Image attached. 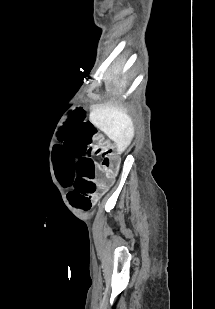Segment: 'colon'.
Listing matches in <instances>:
<instances>
[{"label": "colon", "instance_id": "obj_1", "mask_svg": "<svg viewBox=\"0 0 215 309\" xmlns=\"http://www.w3.org/2000/svg\"><path fill=\"white\" fill-rule=\"evenodd\" d=\"M102 166L105 171L114 172L118 168V162L115 154L112 151H107L103 153L102 156Z\"/></svg>", "mask_w": 215, "mask_h": 309}]
</instances>
